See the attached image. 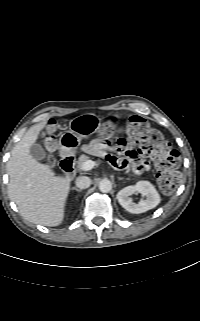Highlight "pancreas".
Masks as SVG:
<instances>
[{
  "label": "pancreas",
  "mask_w": 200,
  "mask_h": 321,
  "mask_svg": "<svg viewBox=\"0 0 200 321\" xmlns=\"http://www.w3.org/2000/svg\"><path fill=\"white\" fill-rule=\"evenodd\" d=\"M87 160H89V157L86 156V155H84V154H82V155L79 157L78 161H77L78 168L81 169L83 163L86 162Z\"/></svg>",
  "instance_id": "obj_1"
}]
</instances>
